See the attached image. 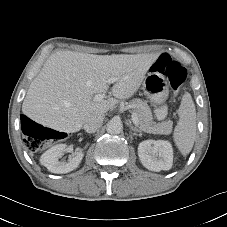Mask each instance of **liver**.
Wrapping results in <instances>:
<instances>
[{
    "label": "liver",
    "mask_w": 227,
    "mask_h": 227,
    "mask_svg": "<svg viewBox=\"0 0 227 227\" xmlns=\"http://www.w3.org/2000/svg\"><path fill=\"white\" fill-rule=\"evenodd\" d=\"M157 54L94 55L58 51L49 56L31 82L22 104L23 113L33 121L59 132L79 131L95 113H106L131 98L139 89ZM118 78L112 95L100 101L108 79Z\"/></svg>",
    "instance_id": "6515ba94"
}]
</instances>
